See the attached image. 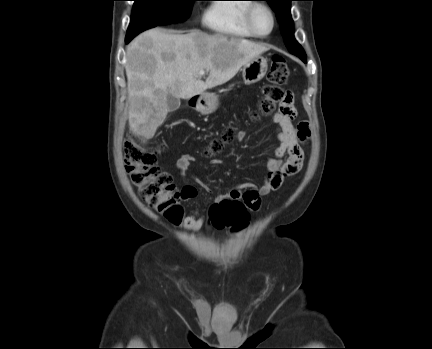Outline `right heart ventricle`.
<instances>
[{"instance_id":"right-heart-ventricle-1","label":"right heart ventricle","mask_w":432,"mask_h":349,"mask_svg":"<svg viewBox=\"0 0 432 349\" xmlns=\"http://www.w3.org/2000/svg\"><path fill=\"white\" fill-rule=\"evenodd\" d=\"M231 1L236 3H226ZM250 0H214L204 14L205 26L214 33L236 39L254 37L244 23Z\"/></svg>"}]
</instances>
